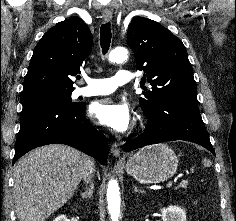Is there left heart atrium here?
<instances>
[{
	"label": "left heart atrium",
	"instance_id": "1",
	"mask_svg": "<svg viewBox=\"0 0 236 221\" xmlns=\"http://www.w3.org/2000/svg\"><path fill=\"white\" fill-rule=\"evenodd\" d=\"M91 113L94 118L116 132L127 131L132 123L128 105L112 98L96 101L92 106Z\"/></svg>",
	"mask_w": 236,
	"mask_h": 221
}]
</instances>
